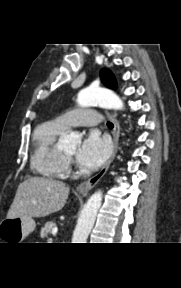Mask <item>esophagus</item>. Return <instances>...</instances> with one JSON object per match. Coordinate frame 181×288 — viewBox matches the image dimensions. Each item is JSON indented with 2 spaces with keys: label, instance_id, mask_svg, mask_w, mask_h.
<instances>
[{
  "label": "esophagus",
  "instance_id": "34e87169",
  "mask_svg": "<svg viewBox=\"0 0 181 288\" xmlns=\"http://www.w3.org/2000/svg\"><path fill=\"white\" fill-rule=\"evenodd\" d=\"M108 117L112 121L114 128H113V151L108 159V161L105 163V165L101 168V170L95 174L93 177L89 178L87 181L81 183L78 187L77 190L83 194L86 195L99 181L100 179L104 176L106 171L108 170L111 162L116 156L117 150H118V142H119V134H120V125L118 120L113 116L112 114L107 112Z\"/></svg>",
  "mask_w": 181,
  "mask_h": 288
}]
</instances>
